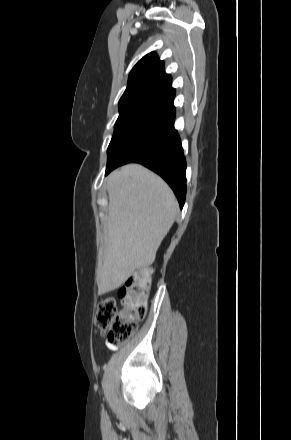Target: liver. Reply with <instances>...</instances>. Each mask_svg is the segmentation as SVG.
<instances>
[{
	"label": "liver",
	"instance_id": "6515ba94",
	"mask_svg": "<svg viewBox=\"0 0 291 440\" xmlns=\"http://www.w3.org/2000/svg\"><path fill=\"white\" fill-rule=\"evenodd\" d=\"M105 258L99 294L118 287L135 269L151 265L173 225L177 200L165 181L139 164H128L107 178Z\"/></svg>",
	"mask_w": 291,
	"mask_h": 440
}]
</instances>
